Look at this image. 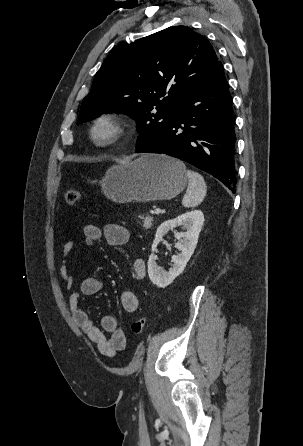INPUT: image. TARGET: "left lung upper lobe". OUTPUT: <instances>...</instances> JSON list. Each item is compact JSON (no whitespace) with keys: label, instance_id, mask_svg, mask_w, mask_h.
<instances>
[{"label":"left lung upper lobe","instance_id":"left-lung-upper-lobe-1","mask_svg":"<svg viewBox=\"0 0 303 446\" xmlns=\"http://www.w3.org/2000/svg\"><path fill=\"white\" fill-rule=\"evenodd\" d=\"M218 61L209 41L186 26L118 45L96 73L77 124L101 113L127 114L138 124L139 149L161 134L175 106Z\"/></svg>","mask_w":303,"mask_h":446}]
</instances>
